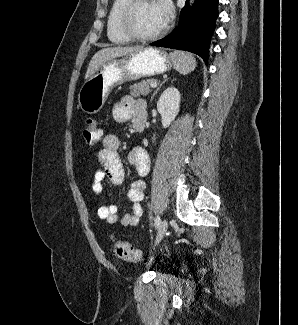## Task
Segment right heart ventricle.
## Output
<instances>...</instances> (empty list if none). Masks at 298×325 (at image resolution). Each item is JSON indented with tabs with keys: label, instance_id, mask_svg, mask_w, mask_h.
<instances>
[{
	"label": "right heart ventricle",
	"instance_id": "right-heart-ventricle-1",
	"mask_svg": "<svg viewBox=\"0 0 298 325\" xmlns=\"http://www.w3.org/2000/svg\"><path fill=\"white\" fill-rule=\"evenodd\" d=\"M127 0L114 1L109 9L106 21V33L109 42L115 46L128 45L131 40L125 37L118 28V17Z\"/></svg>",
	"mask_w": 298,
	"mask_h": 325
}]
</instances>
